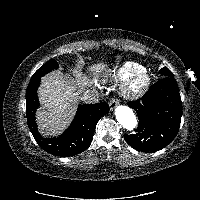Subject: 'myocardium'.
Masks as SVG:
<instances>
[{
	"instance_id": "myocardium-1",
	"label": "myocardium",
	"mask_w": 200,
	"mask_h": 200,
	"mask_svg": "<svg viewBox=\"0 0 200 200\" xmlns=\"http://www.w3.org/2000/svg\"><path fill=\"white\" fill-rule=\"evenodd\" d=\"M143 78V83L138 88H134V82ZM151 84V77L145 69L134 73L126 79L121 86V95L129 100H136L141 98L149 89Z\"/></svg>"
}]
</instances>
